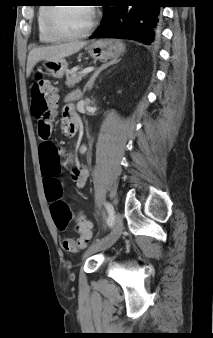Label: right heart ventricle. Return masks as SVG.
Segmentation results:
<instances>
[{
  "mask_svg": "<svg viewBox=\"0 0 213 338\" xmlns=\"http://www.w3.org/2000/svg\"><path fill=\"white\" fill-rule=\"evenodd\" d=\"M43 6H39L37 11V30H38V36L41 42L44 43H52L55 42L56 39L52 38L48 35V33L45 30V19L47 12L49 10V6H46L48 4H41ZM45 5V6H44Z\"/></svg>",
  "mask_w": 213,
  "mask_h": 338,
  "instance_id": "right-heart-ventricle-1",
  "label": "right heart ventricle"
}]
</instances>
